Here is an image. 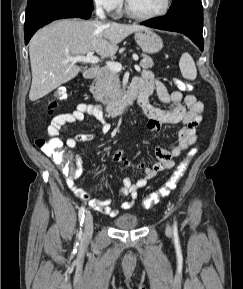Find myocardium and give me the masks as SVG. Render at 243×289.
I'll return each instance as SVG.
<instances>
[{
  "label": "myocardium",
  "mask_w": 243,
  "mask_h": 289,
  "mask_svg": "<svg viewBox=\"0 0 243 289\" xmlns=\"http://www.w3.org/2000/svg\"><path fill=\"white\" fill-rule=\"evenodd\" d=\"M171 5H172V0H165L164 7L160 11L153 13V14L144 15V14H139V13L135 12L130 7L128 0H125L124 10H125V13L133 19L152 20V19H156V18H159V17L166 15L170 10Z\"/></svg>",
  "instance_id": "obj_1"
}]
</instances>
